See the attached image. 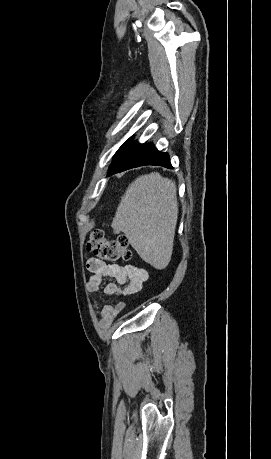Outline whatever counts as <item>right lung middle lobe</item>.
Masks as SVG:
<instances>
[{"label":"right lung middle lobe","mask_w":271,"mask_h":459,"mask_svg":"<svg viewBox=\"0 0 271 459\" xmlns=\"http://www.w3.org/2000/svg\"><path fill=\"white\" fill-rule=\"evenodd\" d=\"M133 137L129 138L120 148L119 150L117 151L116 155H118L128 144L131 143Z\"/></svg>","instance_id":"1"}]
</instances>
